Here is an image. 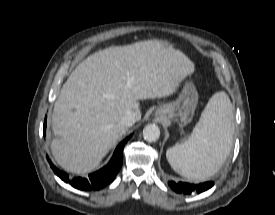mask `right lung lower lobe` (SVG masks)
Returning a JSON list of instances; mask_svg holds the SVG:
<instances>
[{
  "instance_id": "98d812e1",
  "label": "right lung lower lobe",
  "mask_w": 275,
  "mask_h": 215,
  "mask_svg": "<svg viewBox=\"0 0 275 215\" xmlns=\"http://www.w3.org/2000/svg\"><path fill=\"white\" fill-rule=\"evenodd\" d=\"M46 130V122L44 123V135ZM131 138V135L123 140L116 148L113 157L110 162L104 168L92 173L89 175V178H81L77 177L74 179H69L68 174L63 171H59L49 160L51 168L55 172V174L60 177L64 182L70 183L73 187L80 190H99L112 182L119 172L122 162H123V149L124 145L127 143L128 139Z\"/></svg>"
}]
</instances>
